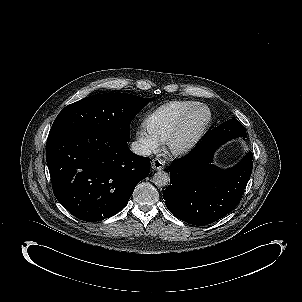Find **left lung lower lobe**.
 <instances>
[{
  "instance_id": "1",
  "label": "left lung lower lobe",
  "mask_w": 302,
  "mask_h": 302,
  "mask_svg": "<svg viewBox=\"0 0 302 302\" xmlns=\"http://www.w3.org/2000/svg\"><path fill=\"white\" fill-rule=\"evenodd\" d=\"M220 145L209 133L191 152L170 165V185L163 191V198L177 218L193 225H208L240 202L251 176L253 154L222 170L211 164Z\"/></svg>"
}]
</instances>
